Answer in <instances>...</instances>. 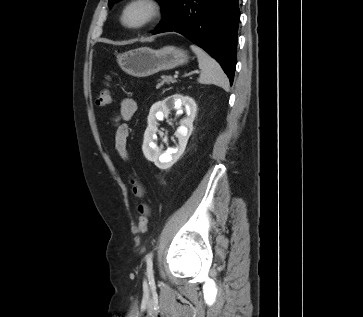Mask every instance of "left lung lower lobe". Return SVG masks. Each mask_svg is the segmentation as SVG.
Returning a JSON list of instances; mask_svg holds the SVG:
<instances>
[{
	"mask_svg": "<svg viewBox=\"0 0 363 317\" xmlns=\"http://www.w3.org/2000/svg\"><path fill=\"white\" fill-rule=\"evenodd\" d=\"M152 32H178L205 49L233 83L240 10L238 0H171Z\"/></svg>",
	"mask_w": 363,
	"mask_h": 317,
	"instance_id": "0a47b994",
	"label": "left lung lower lobe"
}]
</instances>
